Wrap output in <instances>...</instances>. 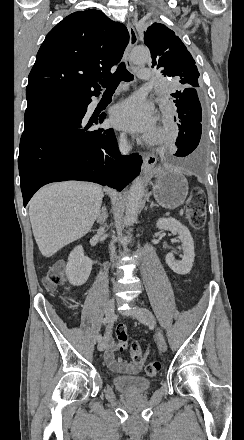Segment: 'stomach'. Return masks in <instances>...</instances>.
Here are the masks:
<instances>
[{"label":"stomach","instance_id":"0dacf381","mask_svg":"<svg viewBox=\"0 0 244 440\" xmlns=\"http://www.w3.org/2000/svg\"><path fill=\"white\" fill-rule=\"evenodd\" d=\"M150 176L156 178L152 192L155 200L162 208L174 210V208L184 204L189 186L180 170L163 168V170H153V172H150Z\"/></svg>","mask_w":244,"mask_h":440}]
</instances>
